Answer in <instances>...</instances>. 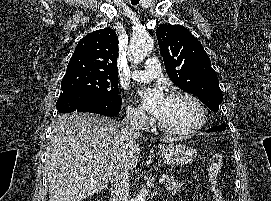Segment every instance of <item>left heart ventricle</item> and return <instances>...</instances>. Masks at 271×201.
<instances>
[{
	"instance_id": "b2bd125f",
	"label": "left heart ventricle",
	"mask_w": 271,
	"mask_h": 201,
	"mask_svg": "<svg viewBox=\"0 0 271 201\" xmlns=\"http://www.w3.org/2000/svg\"><path fill=\"white\" fill-rule=\"evenodd\" d=\"M199 120L196 106L181 97L167 98L166 105L159 121L167 128L182 131L194 126Z\"/></svg>"
}]
</instances>
